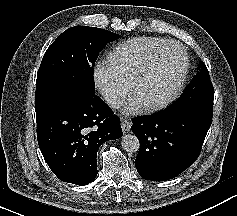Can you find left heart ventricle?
Segmentation results:
<instances>
[{
    "mask_svg": "<svg viewBox=\"0 0 237 216\" xmlns=\"http://www.w3.org/2000/svg\"><path fill=\"white\" fill-rule=\"evenodd\" d=\"M182 60L159 66L149 74H143L139 81L138 96L147 100H157L169 92L176 83Z\"/></svg>",
    "mask_w": 237,
    "mask_h": 216,
    "instance_id": "left-heart-ventricle-1",
    "label": "left heart ventricle"
}]
</instances>
